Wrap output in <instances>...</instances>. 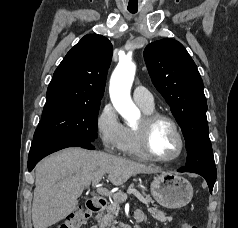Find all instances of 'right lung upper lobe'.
<instances>
[{
  "label": "right lung upper lobe",
  "instance_id": "1",
  "mask_svg": "<svg viewBox=\"0 0 238 228\" xmlns=\"http://www.w3.org/2000/svg\"><path fill=\"white\" fill-rule=\"evenodd\" d=\"M112 52V44L104 36H84L54 72L43 114L65 107L100 104Z\"/></svg>",
  "mask_w": 238,
  "mask_h": 228
}]
</instances>
